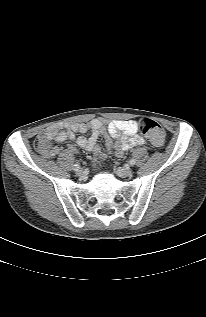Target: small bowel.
<instances>
[{
  "mask_svg": "<svg viewBox=\"0 0 206 317\" xmlns=\"http://www.w3.org/2000/svg\"><path fill=\"white\" fill-rule=\"evenodd\" d=\"M88 131L91 132L88 137L76 135V133L83 134ZM39 137L57 142L69 139L75 141L79 147L94 153H98L100 150L98 145L100 137H104L108 147L112 145V139H115L114 148L117 157L123 156L127 150L133 147L145 144V139L138 134L137 123L133 120H112L106 122L104 119L95 118L88 123L71 124L66 130L58 127H48L39 133ZM68 150L71 153H75L76 147L69 145ZM49 152L50 155H55L59 152V148L56 146L51 147Z\"/></svg>",
  "mask_w": 206,
  "mask_h": 317,
  "instance_id": "obj_1",
  "label": "small bowel"
}]
</instances>
